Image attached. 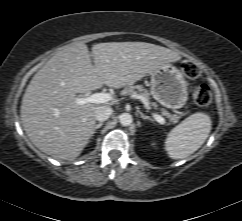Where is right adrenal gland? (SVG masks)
<instances>
[{
  "instance_id": "obj_1",
  "label": "right adrenal gland",
  "mask_w": 242,
  "mask_h": 221,
  "mask_svg": "<svg viewBox=\"0 0 242 221\" xmlns=\"http://www.w3.org/2000/svg\"><path fill=\"white\" fill-rule=\"evenodd\" d=\"M102 125H103V123H102V122H100V123H98L97 125H95V128H94V132H93V134H94V133H96V132H97V130H98L99 128H101V127H102Z\"/></svg>"
}]
</instances>
